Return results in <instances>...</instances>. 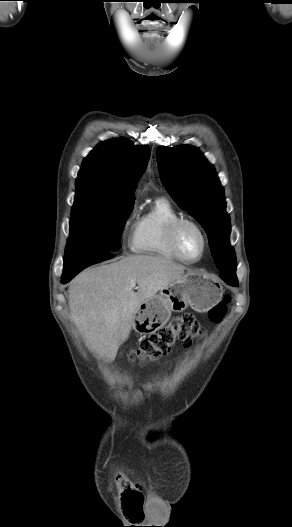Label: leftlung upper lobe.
Segmentation results:
<instances>
[{"mask_svg":"<svg viewBox=\"0 0 292 527\" xmlns=\"http://www.w3.org/2000/svg\"><path fill=\"white\" fill-rule=\"evenodd\" d=\"M156 156L164 187L204 228L221 274L235 276L236 256L229 243L230 218L214 167L192 146H160Z\"/></svg>","mask_w":292,"mask_h":527,"instance_id":"1","label":"left lung upper lobe"}]
</instances>
